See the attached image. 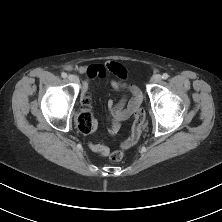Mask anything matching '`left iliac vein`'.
<instances>
[{
    "label": "left iliac vein",
    "instance_id": "1",
    "mask_svg": "<svg viewBox=\"0 0 222 222\" xmlns=\"http://www.w3.org/2000/svg\"><path fill=\"white\" fill-rule=\"evenodd\" d=\"M161 79H162L161 76L159 74H157L151 78V82L152 83H159L161 81Z\"/></svg>",
    "mask_w": 222,
    "mask_h": 222
}]
</instances>
